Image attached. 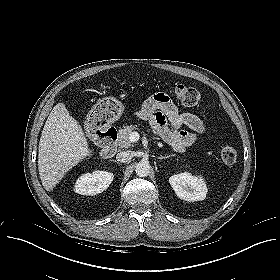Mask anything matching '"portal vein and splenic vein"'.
Segmentation results:
<instances>
[{
    "label": "portal vein and splenic vein",
    "mask_w": 280,
    "mask_h": 280,
    "mask_svg": "<svg viewBox=\"0 0 280 280\" xmlns=\"http://www.w3.org/2000/svg\"><path fill=\"white\" fill-rule=\"evenodd\" d=\"M139 137H140V135L136 131L131 132L129 135V139L131 142H137L139 140Z\"/></svg>",
    "instance_id": "portal-vein-and-splenic-vein-1"
}]
</instances>
